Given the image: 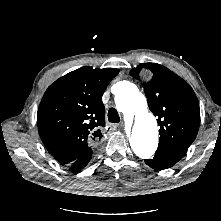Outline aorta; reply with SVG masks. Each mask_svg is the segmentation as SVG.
<instances>
[{
	"label": "aorta",
	"mask_w": 221,
	"mask_h": 221,
	"mask_svg": "<svg viewBox=\"0 0 221 221\" xmlns=\"http://www.w3.org/2000/svg\"><path fill=\"white\" fill-rule=\"evenodd\" d=\"M115 103L126 119L134 121L130 135L133 152L140 158H151L158 146V127L155 117L148 112L145 96L134 84L122 82Z\"/></svg>",
	"instance_id": "1"
}]
</instances>
